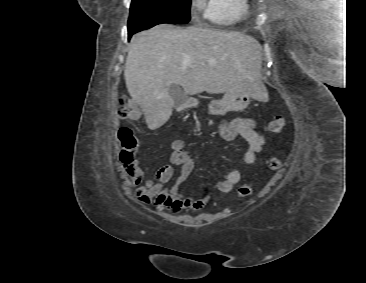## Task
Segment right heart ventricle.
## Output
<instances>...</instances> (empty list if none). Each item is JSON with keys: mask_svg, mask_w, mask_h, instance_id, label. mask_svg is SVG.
<instances>
[{"mask_svg": "<svg viewBox=\"0 0 366 283\" xmlns=\"http://www.w3.org/2000/svg\"><path fill=\"white\" fill-rule=\"evenodd\" d=\"M204 16L220 26H234L249 15L248 0H204Z\"/></svg>", "mask_w": 366, "mask_h": 283, "instance_id": "right-heart-ventricle-1", "label": "right heart ventricle"}]
</instances>
